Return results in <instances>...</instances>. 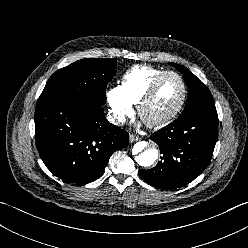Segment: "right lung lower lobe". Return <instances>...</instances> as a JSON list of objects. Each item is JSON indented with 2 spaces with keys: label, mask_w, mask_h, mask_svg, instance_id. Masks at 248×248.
<instances>
[{
  "label": "right lung lower lobe",
  "mask_w": 248,
  "mask_h": 248,
  "mask_svg": "<svg viewBox=\"0 0 248 248\" xmlns=\"http://www.w3.org/2000/svg\"><path fill=\"white\" fill-rule=\"evenodd\" d=\"M35 138L47 168L76 184L99 178L110 156L129 143L128 133L109 123L102 107L90 109L61 100L37 103Z\"/></svg>",
  "instance_id": "1"
}]
</instances>
